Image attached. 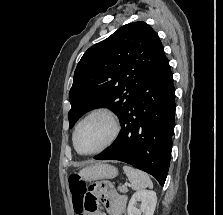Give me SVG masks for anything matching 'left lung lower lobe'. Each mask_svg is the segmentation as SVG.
<instances>
[{"label":"left lung lower lobe","mask_w":223,"mask_h":215,"mask_svg":"<svg viewBox=\"0 0 223 215\" xmlns=\"http://www.w3.org/2000/svg\"><path fill=\"white\" fill-rule=\"evenodd\" d=\"M175 88L165 59L144 81L120 121L113 144L94 159L119 160L154 176L164 185L175 126Z\"/></svg>","instance_id":"left-lung-lower-lobe-1"}]
</instances>
